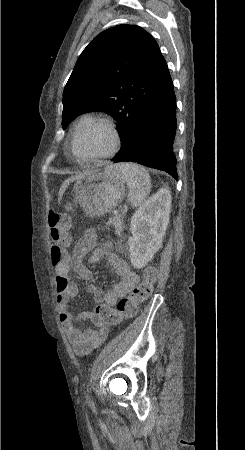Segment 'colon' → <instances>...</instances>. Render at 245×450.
I'll use <instances>...</instances> for the list:
<instances>
[{
    "mask_svg": "<svg viewBox=\"0 0 245 450\" xmlns=\"http://www.w3.org/2000/svg\"><path fill=\"white\" fill-rule=\"evenodd\" d=\"M65 207L68 208L69 203H66ZM48 225L52 239L50 260L53 266H57L63 263L68 255L71 224L66 213L52 211L48 217ZM157 279V267L148 265L143 271L141 282L133 287L128 297L119 300L115 306L101 304L94 307L96 319L105 324L117 325L125 319L134 317L139 306L151 297Z\"/></svg>",
    "mask_w": 245,
    "mask_h": 450,
    "instance_id": "colon-1",
    "label": "colon"
}]
</instances>
